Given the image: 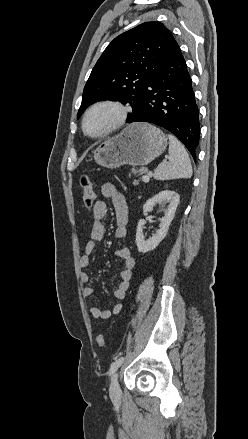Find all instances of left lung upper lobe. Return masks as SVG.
<instances>
[{"label": "left lung upper lobe", "instance_id": "obj_1", "mask_svg": "<svg viewBox=\"0 0 248 439\" xmlns=\"http://www.w3.org/2000/svg\"><path fill=\"white\" fill-rule=\"evenodd\" d=\"M176 45L172 33L157 21L145 22L116 37L90 74L77 118L91 104L108 99L129 103L134 114L149 82Z\"/></svg>", "mask_w": 248, "mask_h": 439}]
</instances>
